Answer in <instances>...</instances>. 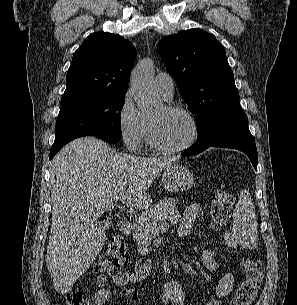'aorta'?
<instances>
[{
    "label": "aorta",
    "mask_w": 297,
    "mask_h": 305,
    "mask_svg": "<svg viewBox=\"0 0 297 305\" xmlns=\"http://www.w3.org/2000/svg\"><path fill=\"white\" fill-rule=\"evenodd\" d=\"M154 65L151 59L141 60L131 73L130 86L138 109L154 113L159 108L153 85Z\"/></svg>",
    "instance_id": "aorta-1"
}]
</instances>
